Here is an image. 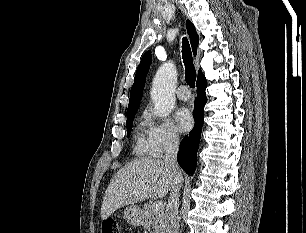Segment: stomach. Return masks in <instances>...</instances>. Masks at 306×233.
Here are the masks:
<instances>
[{
	"mask_svg": "<svg viewBox=\"0 0 306 233\" xmlns=\"http://www.w3.org/2000/svg\"><path fill=\"white\" fill-rule=\"evenodd\" d=\"M124 218L129 224L139 226L144 221V212L139 206L131 205L125 208Z\"/></svg>",
	"mask_w": 306,
	"mask_h": 233,
	"instance_id": "1",
	"label": "stomach"
}]
</instances>
